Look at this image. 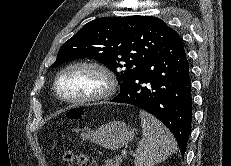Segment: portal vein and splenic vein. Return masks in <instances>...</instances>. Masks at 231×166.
<instances>
[{"mask_svg":"<svg viewBox=\"0 0 231 166\" xmlns=\"http://www.w3.org/2000/svg\"><path fill=\"white\" fill-rule=\"evenodd\" d=\"M126 155H127V151H126V150H123V151H122V156H126ZM122 156H118V157H119L118 159L122 158Z\"/></svg>","mask_w":231,"mask_h":166,"instance_id":"portal-vein-and-splenic-vein-1","label":"portal vein and splenic vein"}]
</instances>
